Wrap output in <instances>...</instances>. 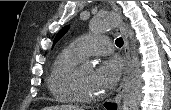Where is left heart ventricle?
<instances>
[{
	"label": "left heart ventricle",
	"mask_w": 171,
	"mask_h": 110,
	"mask_svg": "<svg viewBox=\"0 0 171 110\" xmlns=\"http://www.w3.org/2000/svg\"><path fill=\"white\" fill-rule=\"evenodd\" d=\"M80 82L85 90V92L89 95H100L102 91L97 86L94 81V70L90 67L81 66L80 70Z\"/></svg>",
	"instance_id": "left-heart-ventricle-1"
}]
</instances>
